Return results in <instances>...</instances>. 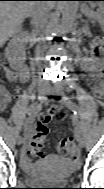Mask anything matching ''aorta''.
<instances>
[{
	"instance_id": "obj_1",
	"label": "aorta",
	"mask_w": 104,
	"mask_h": 189,
	"mask_svg": "<svg viewBox=\"0 0 104 189\" xmlns=\"http://www.w3.org/2000/svg\"><path fill=\"white\" fill-rule=\"evenodd\" d=\"M77 10L78 1H63L61 7L62 19L60 24V30L62 33L72 29L77 16Z\"/></svg>"
}]
</instances>
